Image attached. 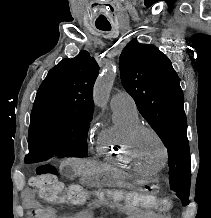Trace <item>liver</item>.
<instances>
[{"mask_svg": "<svg viewBox=\"0 0 211 218\" xmlns=\"http://www.w3.org/2000/svg\"><path fill=\"white\" fill-rule=\"evenodd\" d=\"M68 166H71L73 172H75V176H87V174H91L92 166H90L87 160H76V158H70L67 160Z\"/></svg>", "mask_w": 211, "mask_h": 218, "instance_id": "1", "label": "liver"}]
</instances>
